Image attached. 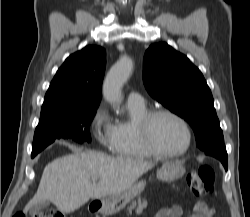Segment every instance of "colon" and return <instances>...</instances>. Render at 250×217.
<instances>
[{
    "mask_svg": "<svg viewBox=\"0 0 250 217\" xmlns=\"http://www.w3.org/2000/svg\"><path fill=\"white\" fill-rule=\"evenodd\" d=\"M215 173L211 166L203 165L198 170L192 171L187 176L188 185L191 190L198 196L210 193L213 191ZM194 210L197 214L203 217H210L212 209L203 201H198ZM13 217H27L24 212H17ZM33 217H65L62 212L57 209H51L46 212L38 213Z\"/></svg>",
    "mask_w": 250,
    "mask_h": 217,
    "instance_id": "5ec220e1",
    "label": "colon"
}]
</instances>
